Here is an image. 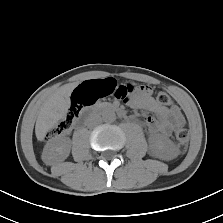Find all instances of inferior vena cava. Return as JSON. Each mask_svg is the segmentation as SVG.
I'll list each match as a JSON object with an SVG mask.
<instances>
[{
    "mask_svg": "<svg viewBox=\"0 0 223 223\" xmlns=\"http://www.w3.org/2000/svg\"><path fill=\"white\" fill-rule=\"evenodd\" d=\"M101 121V117L98 115H93L88 119V127L97 125Z\"/></svg>",
    "mask_w": 223,
    "mask_h": 223,
    "instance_id": "inferior-vena-cava-1",
    "label": "inferior vena cava"
}]
</instances>
